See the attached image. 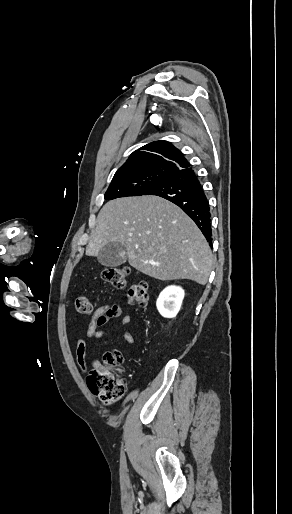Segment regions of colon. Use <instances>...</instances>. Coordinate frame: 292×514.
I'll list each match as a JSON object with an SVG mask.
<instances>
[{
    "instance_id": "obj_1",
    "label": "colon",
    "mask_w": 292,
    "mask_h": 514,
    "mask_svg": "<svg viewBox=\"0 0 292 514\" xmlns=\"http://www.w3.org/2000/svg\"><path fill=\"white\" fill-rule=\"evenodd\" d=\"M129 270L127 267H110L101 271V279L115 289H123L127 283ZM128 299L131 303L146 306L149 302V289L145 281L134 282L129 291ZM76 308L79 314L88 315L92 306L86 295H79L76 299ZM123 361L120 351H107L102 363L92 369L86 381L89 389L106 406L117 404L124 396L125 387L117 375V367Z\"/></svg>"
}]
</instances>
